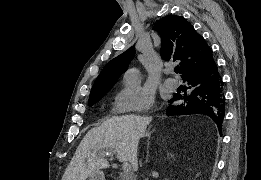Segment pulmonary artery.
Returning a JSON list of instances; mask_svg holds the SVG:
<instances>
[{"label": "pulmonary artery", "instance_id": "1", "mask_svg": "<svg viewBox=\"0 0 261 180\" xmlns=\"http://www.w3.org/2000/svg\"><path fill=\"white\" fill-rule=\"evenodd\" d=\"M165 73L168 74V75H172L173 73V70L172 69H165ZM165 86L171 90H174L178 87V81L171 77V78H168L166 81H165Z\"/></svg>", "mask_w": 261, "mask_h": 180}]
</instances>
